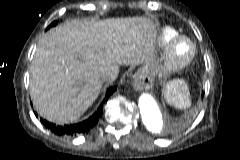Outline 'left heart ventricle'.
Returning <instances> with one entry per match:
<instances>
[{
  "label": "left heart ventricle",
  "mask_w": 240,
  "mask_h": 160,
  "mask_svg": "<svg viewBox=\"0 0 240 160\" xmlns=\"http://www.w3.org/2000/svg\"><path fill=\"white\" fill-rule=\"evenodd\" d=\"M188 51V45L185 43H180L178 45V52L181 55H184Z\"/></svg>",
  "instance_id": "left-heart-ventricle-1"
}]
</instances>
